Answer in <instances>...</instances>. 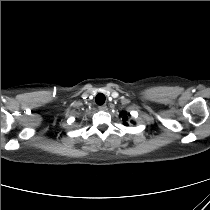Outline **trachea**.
<instances>
[{"instance_id": "1", "label": "trachea", "mask_w": 210, "mask_h": 210, "mask_svg": "<svg viewBox=\"0 0 210 210\" xmlns=\"http://www.w3.org/2000/svg\"><path fill=\"white\" fill-rule=\"evenodd\" d=\"M105 100V95L102 93L97 94L95 97V101L98 105H103L105 103Z\"/></svg>"}]
</instances>
